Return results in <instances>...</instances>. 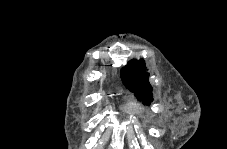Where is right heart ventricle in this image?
I'll return each instance as SVG.
<instances>
[{
	"instance_id": "right-heart-ventricle-1",
	"label": "right heart ventricle",
	"mask_w": 227,
	"mask_h": 149,
	"mask_svg": "<svg viewBox=\"0 0 227 149\" xmlns=\"http://www.w3.org/2000/svg\"><path fill=\"white\" fill-rule=\"evenodd\" d=\"M123 111L126 114H139L141 112V108L133 101H129L124 107Z\"/></svg>"
}]
</instances>
